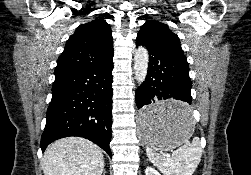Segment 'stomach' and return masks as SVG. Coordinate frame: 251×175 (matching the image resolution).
I'll return each instance as SVG.
<instances>
[{
  "label": "stomach",
  "mask_w": 251,
  "mask_h": 175,
  "mask_svg": "<svg viewBox=\"0 0 251 175\" xmlns=\"http://www.w3.org/2000/svg\"><path fill=\"white\" fill-rule=\"evenodd\" d=\"M183 104V100H154L152 105L143 107L138 119L142 143L154 149H173L192 134H198V129H181L198 128L196 118H191V114H182V111H193V106Z\"/></svg>",
  "instance_id": "obj_1"
}]
</instances>
